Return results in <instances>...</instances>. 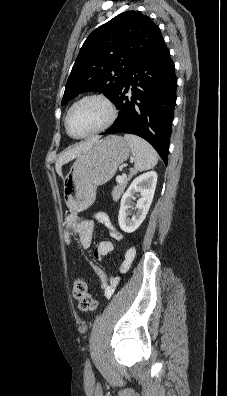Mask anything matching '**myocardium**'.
<instances>
[{
	"label": "myocardium",
	"instance_id": "1",
	"mask_svg": "<svg viewBox=\"0 0 227 396\" xmlns=\"http://www.w3.org/2000/svg\"><path fill=\"white\" fill-rule=\"evenodd\" d=\"M89 100H97V101H100L101 103H103L108 110V117L103 124H101L96 129L92 130L91 132L86 133L84 135L76 136V135L72 134L69 129V125H68L69 116L75 107H77L78 105H80L86 101H89ZM117 117H118V110H117L115 104L112 102V100L109 97H107L106 95L101 94V93H89V94L83 95L82 97L78 98L76 101H74L71 104V106L68 108V110L65 114L64 126H65V130H66L67 134L71 138L85 139V138L97 135V134L107 130L108 128H110L116 121Z\"/></svg>",
	"mask_w": 227,
	"mask_h": 396
}]
</instances>
